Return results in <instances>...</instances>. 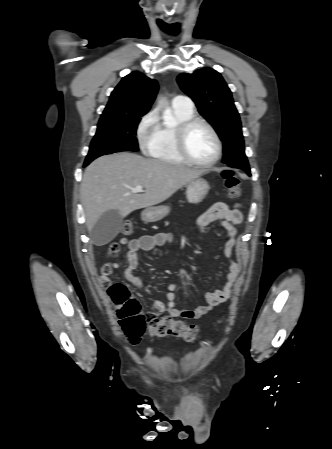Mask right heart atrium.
<instances>
[{
    "label": "right heart atrium",
    "instance_id": "d8ad5b80",
    "mask_svg": "<svg viewBox=\"0 0 332 449\" xmlns=\"http://www.w3.org/2000/svg\"><path fill=\"white\" fill-rule=\"evenodd\" d=\"M157 121L154 112H149L142 117L137 126V137L140 147L147 150L155 133Z\"/></svg>",
    "mask_w": 332,
    "mask_h": 449
}]
</instances>
